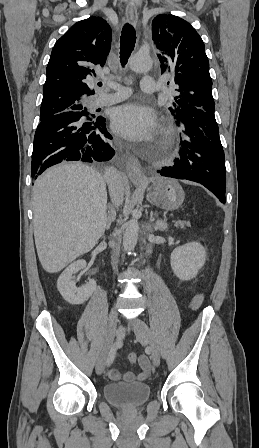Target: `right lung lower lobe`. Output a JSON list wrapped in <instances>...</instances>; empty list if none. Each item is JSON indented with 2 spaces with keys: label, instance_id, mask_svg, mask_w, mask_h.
I'll return each instance as SVG.
<instances>
[{
  "label": "right lung lower lobe",
  "instance_id": "right-lung-lower-lobe-1",
  "mask_svg": "<svg viewBox=\"0 0 259 448\" xmlns=\"http://www.w3.org/2000/svg\"><path fill=\"white\" fill-rule=\"evenodd\" d=\"M105 121L102 116L88 119L68 112L42 120L34 136L32 180L62 161L110 160L115 151L108 142L112 136L107 132Z\"/></svg>",
  "mask_w": 259,
  "mask_h": 448
}]
</instances>
